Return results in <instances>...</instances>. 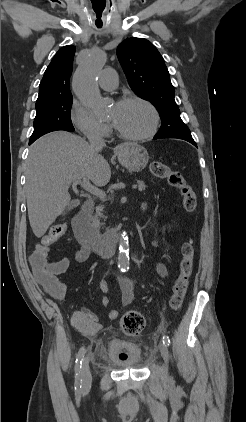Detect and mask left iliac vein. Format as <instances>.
I'll use <instances>...</instances> for the list:
<instances>
[{
    "instance_id": "left-iliac-vein-1",
    "label": "left iliac vein",
    "mask_w": 246,
    "mask_h": 422,
    "mask_svg": "<svg viewBox=\"0 0 246 422\" xmlns=\"http://www.w3.org/2000/svg\"><path fill=\"white\" fill-rule=\"evenodd\" d=\"M159 349H160V353H161L163 360L167 364L168 360H169V352H168L167 346L164 343L161 342L160 345H159Z\"/></svg>"
}]
</instances>
